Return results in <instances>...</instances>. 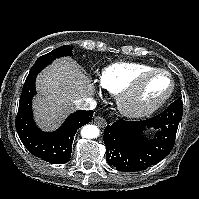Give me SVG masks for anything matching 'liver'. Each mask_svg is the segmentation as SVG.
<instances>
[{
	"label": "liver",
	"instance_id": "1",
	"mask_svg": "<svg viewBox=\"0 0 199 199\" xmlns=\"http://www.w3.org/2000/svg\"><path fill=\"white\" fill-rule=\"evenodd\" d=\"M38 95L33 100L36 123L45 131L57 129L75 110V102L90 98L94 86L82 68L71 58L56 60L38 75Z\"/></svg>",
	"mask_w": 199,
	"mask_h": 199
}]
</instances>
